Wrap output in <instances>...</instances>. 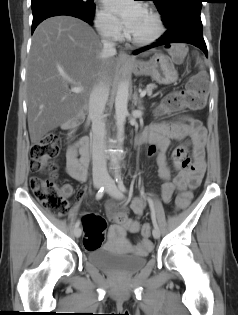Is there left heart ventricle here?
I'll return each instance as SVG.
<instances>
[{"label": "left heart ventricle", "instance_id": "1", "mask_svg": "<svg viewBox=\"0 0 238 315\" xmlns=\"http://www.w3.org/2000/svg\"><path fill=\"white\" fill-rule=\"evenodd\" d=\"M155 31V22L151 15L143 10L137 17L129 33L136 38H146L151 36Z\"/></svg>", "mask_w": 238, "mask_h": 315}]
</instances>
